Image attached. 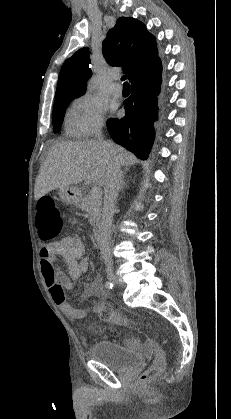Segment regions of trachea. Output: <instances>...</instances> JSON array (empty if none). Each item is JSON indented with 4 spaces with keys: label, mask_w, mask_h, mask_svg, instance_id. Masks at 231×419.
Wrapping results in <instances>:
<instances>
[{
    "label": "trachea",
    "mask_w": 231,
    "mask_h": 419,
    "mask_svg": "<svg viewBox=\"0 0 231 419\" xmlns=\"http://www.w3.org/2000/svg\"><path fill=\"white\" fill-rule=\"evenodd\" d=\"M127 79V75H123L122 77H121V80L122 81H125ZM130 86H129V83L128 82H124V88H129Z\"/></svg>",
    "instance_id": "trachea-1"
}]
</instances>
